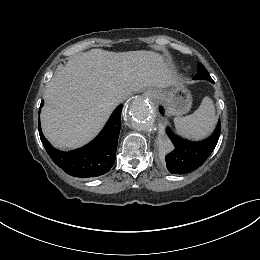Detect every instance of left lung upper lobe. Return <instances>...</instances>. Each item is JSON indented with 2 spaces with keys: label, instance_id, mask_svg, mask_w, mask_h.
I'll return each mask as SVG.
<instances>
[{
  "label": "left lung upper lobe",
  "instance_id": "left-lung-upper-lobe-1",
  "mask_svg": "<svg viewBox=\"0 0 260 260\" xmlns=\"http://www.w3.org/2000/svg\"><path fill=\"white\" fill-rule=\"evenodd\" d=\"M195 79H205V80H209V81H213L212 78L210 77L208 71L206 70V68L202 65L199 64V72L198 74L195 76Z\"/></svg>",
  "mask_w": 260,
  "mask_h": 260
}]
</instances>
